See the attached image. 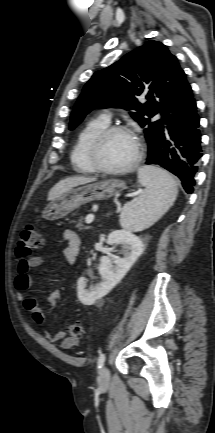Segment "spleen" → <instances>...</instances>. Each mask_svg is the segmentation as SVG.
<instances>
[{"label":"spleen","mask_w":215,"mask_h":433,"mask_svg":"<svg viewBox=\"0 0 215 433\" xmlns=\"http://www.w3.org/2000/svg\"><path fill=\"white\" fill-rule=\"evenodd\" d=\"M138 179L145 191L126 203L120 214L121 227L131 231L153 225L169 210L178 194L173 177L159 167H140Z\"/></svg>","instance_id":"1"}]
</instances>
